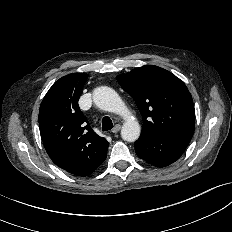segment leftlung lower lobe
<instances>
[{"label":"left lung lower lobe","instance_id":"left-lung-lower-lobe-1","mask_svg":"<svg viewBox=\"0 0 232 232\" xmlns=\"http://www.w3.org/2000/svg\"><path fill=\"white\" fill-rule=\"evenodd\" d=\"M192 137L183 135L149 136L141 134L135 142V152L141 159L156 167L177 161Z\"/></svg>","mask_w":232,"mask_h":232}]
</instances>
